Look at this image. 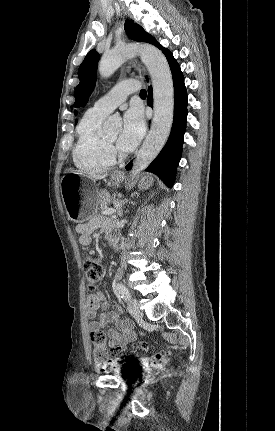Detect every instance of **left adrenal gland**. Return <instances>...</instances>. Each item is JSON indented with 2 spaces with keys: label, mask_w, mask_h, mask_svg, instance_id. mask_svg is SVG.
Listing matches in <instances>:
<instances>
[{
  "label": "left adrenal gland",
  "mask_w": 275,
  "mask_h": 431,
  "mask_svg": "<svg viewBox=\"0 0 275 431\" xmlns=\"http://www.w3.org/2000/svg\"><path fill=\"white\" fill-rule=\"evenodd\" d=\"M122 205H123L122 201L116 202L117 215L120 217L123 215Z\"/></svg>",
  "instance_id": "obj_1"
}]
</instances>
